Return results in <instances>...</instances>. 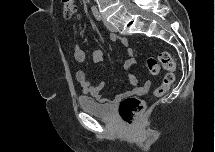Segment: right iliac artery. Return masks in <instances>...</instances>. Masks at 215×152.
Listing matches in <instances>:
<instances>
[{"label":"right iliac artery","instance_id":"1","mask_svg":"<svg viewBox=\"0 0 215 152\" xmlns=\"http://www.w3.org/2000/svg\"><path fill=\"white\" fill-rule=\"evenodd\" d=\"M92 12H93L94 17H95L98 21H100V20H101L100 12H99L96 8H93V9H92Z\"/></svg>","mask_w":215,"mask_h":152}]
</instances>
